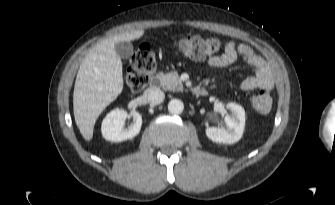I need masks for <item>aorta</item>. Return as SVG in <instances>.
Wrapping results in <instances>:
<instances>
[{
  "mask_svg": "<svg viewBox=\"0 0 335 205\" xmlns=\"http://www.w3.org/2000/svg\"><path fill=\"white\" fill-rule=\"evenodd\" d=\"M184 110V104L179 99H172L168 103V111L171 114H181Z\"/></svg>",
  "mask_w": 335,
  "mask_h": 205,
  "instance_id": "762f6f07",
  "label": "aorta"
}]
</instances>
